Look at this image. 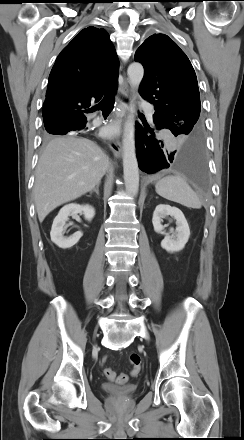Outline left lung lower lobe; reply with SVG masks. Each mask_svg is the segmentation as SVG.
I'll return each mask as SVG.
<instances>
[{"instance_id": "left-lung-lower-lobe-1", "label": "left lung lower lobe", "mask_w": 244, "mask_h": 440, "mask_svg": "<svg viewBox=\"0 0 244 440\" xmlns=\"http://www.w3.org/2000/svg\"><path fill=\"white\" fill-rule=\"evenodd\" d=\"M154 126L136 123V149L139 168L146 173H155L164 168H172L197 184L206 179V158L203 133L187 139L185 144L174 150L163 136L167 129L153 115Z\"/></svg>"}]
</instances>
